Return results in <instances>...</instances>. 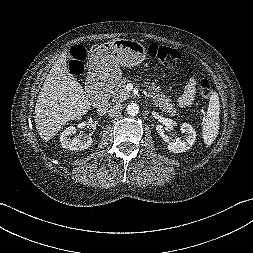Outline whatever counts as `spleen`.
Returning a JSON list of instances; mask_svg holds the SVG:
<instances>
[{"mask_svg":"<svg viewBox=\"0 0 253 253\" xmlns=\"http://www.w3.org/2000/svg\"><path fill=\"white\" fill-rule=\"evenodd\" d=\"M220 103L216 92L212 93L209 100L207 115L202 128V137L206 146H210L216 139L220 125Z\"/></svg>","mask_w":253,"mask_h":253,"instance_id":"1","label":"spleen"}]
</instances>
